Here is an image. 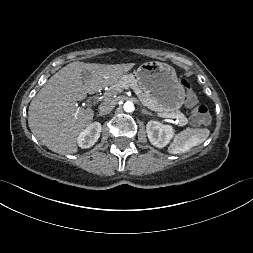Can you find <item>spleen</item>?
I'll return each instance as SVG.
<instances>
[{
	"instance_id": "1",
	"label": "spleen",
	"mask_w": 253,
	"mask_h": 253,
	"mask_svg": "<svg viewBox=\"0 0 253 253\" xmlns=\"http://www.w3.org/2000/svg\"><path fill=\"white\" fill-rule=\"evenodd\" d=\"M209 134L210 131L206 128H186L174 137L168 148V152L171 154L185 153L203 143L209 137Z\"/></svg>"
}]
</instances>
